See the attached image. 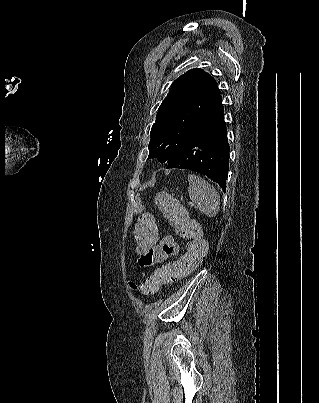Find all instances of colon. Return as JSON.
I'll use <instances>...</instances> for the list:
<instances>
[{
  "instance_id": "5ec220e1",
  "label": "colon",
  "mask_w": 319,
  "mask_h": 403,
  "mask_svg": "<svg viewBox=\"0 0 319 403\" xmlns=\"http://www.w3.org/2000/svg\"><path fill=\"white\" fill-rule=\"evenodd\" d=\"M155 199L170 224L175 227L177 234L187 241L186 252L175 263L158 268L140 285L137 281H130L128 287L132 294L145 296L155 294L162 284L172 283L191 273L208 251V243L201 237L199 225L186 216L183 207L173 196L159 193ZM133 223L136 228L133 231L132 251H136L135 255L140 257L142 251L145 252L160 243L162 222L157 221V218L143 217L134 218Z\"/></svg>"
}]
</instances>
